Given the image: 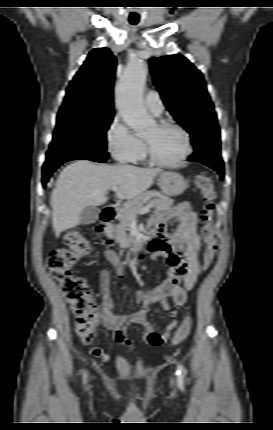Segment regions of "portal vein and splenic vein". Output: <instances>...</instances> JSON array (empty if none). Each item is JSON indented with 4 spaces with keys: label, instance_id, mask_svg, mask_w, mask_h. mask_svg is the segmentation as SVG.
<instances>
[{
    "label": "portal vein and splenic vein",
    "instance_id": "obj_1",
    "mask_svg": "<svg viewBox=\"0 0 273 430\" xmlns=\"http://www.w3.org/2000/svg\"><path fill=\"white\" fill-rule=\"evenodd\" d=\"M112 190L116 192V191H118V187L113 186V187H112ZM151 207H152V205H151V204H149L148 206H146V207L142 208V209L139 211V214L141 215V214H144V213L149 212Z\"/></svg>",
    "mask_w": 273,
    "mask_h": 430
}]
</instances>
